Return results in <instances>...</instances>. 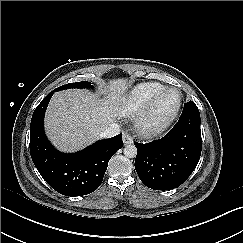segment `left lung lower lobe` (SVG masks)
<instances>
[{
    "label": "left lung lower lobe",
    "mask_w": 243,
    "mask_h": 243,
    "mask_svg": "<svg viewBox=\"0 0 243 243\" xmlns=\"http://www.w3.org/2000/svg\"><path fill=\"white\" fill-rule=\"evenodd\" d=\"M200 113L184 106L177 124L163 138L137 147L135 169L141 181L155 190L179 187L194 171L201 155Z\"/></svg>",
    "instance_id": "1"
}]
</instances>
